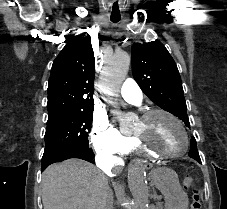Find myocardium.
Segmentation results:
<instances>
[{"mask_svg": "<svg viewBox=\"0 0 227 209\" xmlns=\"http://www.w3.org/2000/svg\"><path fill=\"white\" fill-rule=\"evenodd\" d=\"M155 114H164L166 116H168L169 118H171L181 129L183 136H184V145L180 150L174 151V152H161V151H157L153 148H151L144 140H142L138 134L134 133V140L135 142L140 146V148L145 151L148 155L155 157V158H164V159H168V158H175L178 156L183 155L189 147V135L187 132V129L184 125V123L181 121V119L175 115L174 113H172L171 111L164 109V108H152V109H148L146 111L143 112V114L140 117V120H145Z\"/></svg>", "mask_w": 227, "mask_h": 209, "instance_id": "myocardium-1", "label": "myocardium"}]
</instances>
